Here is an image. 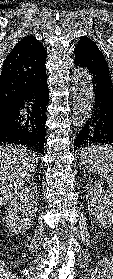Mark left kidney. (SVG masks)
Returning <instances> with one entry per match:
<instances>
[{
	"label": "left kidney",
	"mask_w": 113,
	"mask_h": 279,
	"mask_svg": "<svg viewBox=\"0 0 113 279\" xmlns=\"http://www.w3.org/2000/svg\"><path fill=\"white\" fill-rule=\"evenodd\" d=\"M86 200L89 214L95 222L105 228L113 224V192L90 181L87 184Z\"/></svg>",
	"instance_id": "obj_1"
}]
</instances>
